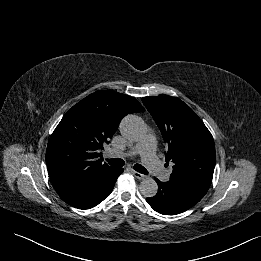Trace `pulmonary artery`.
I'll use <instances>...</instances> for the list:
<instances>
[{
    "label": "pulmonary artery",
    "instance_id": "pulmonary-artery-1",
    "mask_svg": "<svg viewBox=\"0 0 261 261\" xmlns=\"http://www.w3.org/2000/svg\"><path fill=\"white\" fill-rule=\"evenodd\" d=\"M139 154L146 168L156 177L163 181H168L170 171L165 170L156 155V140L153 135H147L141 139L136 146L123 154L110 153V156L129 157Z\"/></svg>",
    "mask_w": 261,
    "mask_h": 261
}]
</instances>
